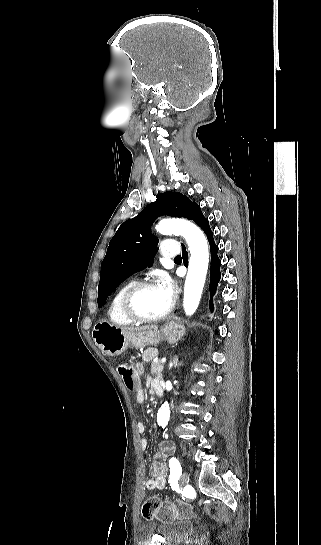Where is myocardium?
I'll return each instance as SVG.
<instances>
[{"mask_svg": "<svg viewBox=\"0 0 321 545\" xmlns=\"http://www.w3.org/2000/svg\"><path fill=\"white\" fill-rule=\"evenodd\" d=\"M157 287V284L153 281H139L130 285L121 295L119 302V309L122 317L133 325L147 324L158 322L165 319L173 310V304L169 309L159 315L141 317L134 314L130 308L131 299L139 292L143 290L153 289Z\"/></svg>", "mask_w": 321, "mask_h": 545, "instance_id": "1", "label": "myocardium"}]
</instances>
